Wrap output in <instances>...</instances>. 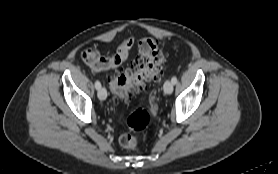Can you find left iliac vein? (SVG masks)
<instances>
[{
    "label": "left iliac vein",
    "instance_id": "obj_1",
    "mask_svg": "<svg viewBox=\"0 0 278 174\" xmlns=\"http://www.w3.org/2000/svg\"><path fill=\"white\" fill-rule=\"evenodd\" d=\"M163 89L166 94H171L173 92V83L170 80H166Z\"/></svg>",
    "mask_w": 278,
    "mask_h": 174
}]
</instances>
